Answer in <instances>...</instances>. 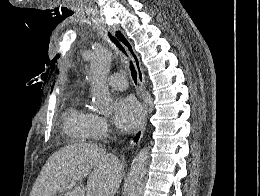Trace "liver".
Wrapping results in <instances>:
<instances>
[{
	"instance_id": "obj_1",
	"label": "liver",
	"mask_w": 260,
	"mask_h": 196,
	"mask_svg": "<svg viewBox=\"0 0 260 196\" xmlns=\"http://www.w3.org/2000/svg\"><path fill=\"white\" fill-rule=\"evenodd\" d=\"M84 178H88L87 186ZM122 178L123 166L117 156L97 144H72L48 158L30 196H53L77 182L79 186L64 196H115Z\"/></svg>"
}]
</instances>
